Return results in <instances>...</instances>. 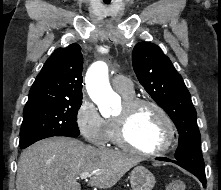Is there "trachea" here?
<instances>
[{"label": "trachea", "mask_w": 221, "mask_h": 190, "mask_svg": "<svg viewBox=\"0 0 221 190\" xmlns=\"http://www.w3.org/2000/svg\"><path fill=\"white\" fill-rule=\"evenodd\" d=\"M104 1H105V0H104ZM105 3H106V4H109V3H110V0H106Z\"/></svg>", "instance_id": "trachea-1"}]
</instances>
